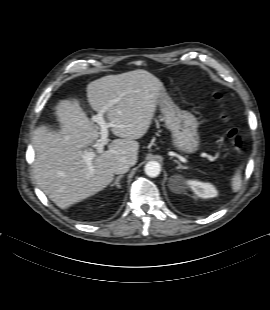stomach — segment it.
Returning <instances> with one entry per match:
<instances>
[{"label": "stomach", "instance_id": "stomach-1", "mask_svg": "<svg viewBox=\"0 0 270 310\" xmlns=\"http://www.w3.org/2000/svg\"><path fill=\"white\" fill-rule=\"evenodd\" d=\"M166 127L172 133L173 146L184 153H195L200 146L198 122L193 114L179 109L166 95L158 99Z\"/></svg>", "mask_w": 270, "mask_h": 310}]
</instances>
